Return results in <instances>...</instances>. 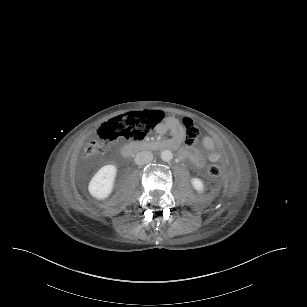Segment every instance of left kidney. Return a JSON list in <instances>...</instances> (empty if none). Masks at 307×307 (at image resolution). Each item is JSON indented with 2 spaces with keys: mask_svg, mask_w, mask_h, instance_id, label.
Here are the masks:
<instances>
[{
  "mask_svg": "<svg viewBox=\"0 0 307 307\" xmlns=\"http://www.w3.org/2000/svg\"><path fill=\"white\" fill-rule=\"evenodd\" d=\"M190 182L192 187L197 193L203 194L205 192L204 183L200 178L197 177L191 178Z\"/></svg>",
  "mask_w": 307,
  "mask_h": 307,
  "instance_id": "obj_1",
  "label": "left kidney"
}]
</instances>
